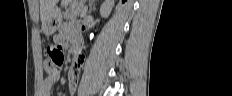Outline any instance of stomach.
Segmentation results:
<instances>
[{
	"mask_svg": "<svg viewBox=\"0 0 232 96\" xmlns=\"http://www.w3.org/2000/svg\"><path fill=\"white\" fill-rule=\"evenodd\" d=\"M71 0H63L62 4L64 6H67ZM62 12L59 8L55 7L49 17L46 19L45 24L43 26V31L46 35H52L56 32V30L59 28V26L62 23Z\"/></svg>",
	"mask_w": 232,
	"mask_h": 96,
	"instance_id": "1",
	"label": "stomach"
}]
</instances>
